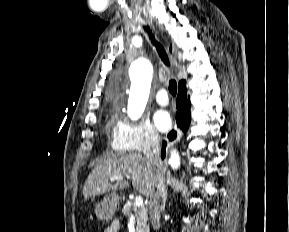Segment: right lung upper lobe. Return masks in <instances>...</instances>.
Wrapping results in <instances>:
<instances>
[{"label": "right lung upper lobe", "mask_w": 289, "mask_h": 232, "mask_svg": "<svg viewBox=\"0 0 289 232\" xmlns=\"http://www.w3.org/2000/svg\"><path fill=\"white\" fill-rule=\"evenodd\" d=\"M185 84H186V81H185V80H181V81L179 82V85H178L179 89L185 88Z\"/></svg>", "instance_id": "1"}]
</instances>
